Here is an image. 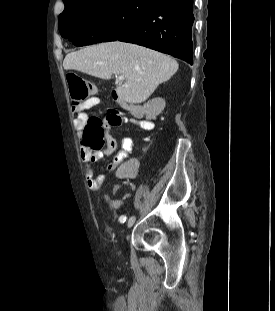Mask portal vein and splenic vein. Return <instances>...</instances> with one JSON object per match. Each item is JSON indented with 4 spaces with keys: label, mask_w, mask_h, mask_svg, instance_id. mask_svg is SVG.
Masks as SVG:
<instances>
[{
    "label": "portal vein and splenic vein",
    "mask_w": 275,
    "mask_h": 311,
    "mask_svg": "<svg viewBox=\"0 0 275 311\" xmlns=\"http://www.w3.org/2000/svg\"><path fill=\"white\" fill-rule=\"evenodd\" d=\"M118 79H119L120 81H122V80L124 79V76H123V75H119V76H118Z\"/></svg>",
    "instance_id": "obj_1"
}]
</instances>
